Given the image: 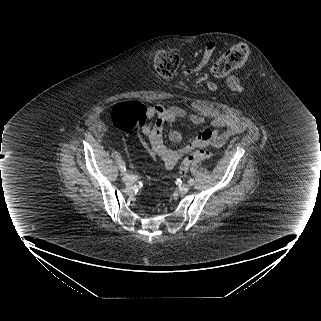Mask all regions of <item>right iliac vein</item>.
<instances>
[{"label": "right iliac vein", "mask_w": 321, "mask_h": 321, "mask_svg": "<svg viewBox=\"0 0 321 321\" xmlns=\"http://www.w3.org/2000/svg\"><path fill=\"white\" fill-rule=\"evenodd\" d=\"M123 181H124L125 184H127V185H131V184L133 183L132 178H131L130 176H128V175L123 176Z\"/></svg>", "instance_id": "63e3f726"}]
</instances>
